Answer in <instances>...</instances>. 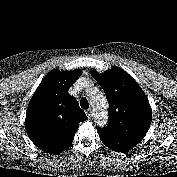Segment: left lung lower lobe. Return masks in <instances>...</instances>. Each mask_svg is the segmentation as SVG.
Here are the masks:
<instances>
[{"label": "left lung lower lobe", "instance_id": "1", "mask_svg": "<svg viewBox=\"0 0 177 177\" xmlns=\"http://www.w3.org/2000/svg\"><path fill=\"white\" fill-rule=\"evenodd\" d=\"M108 148L118 151V152H123V151H128L130 149L127 148V146H124L123 144L119 143H114V142H105L104 143Z\"/></svg>", "mask_w": 177, "mask_h": 177}]
</instances>
